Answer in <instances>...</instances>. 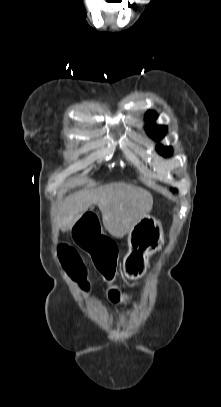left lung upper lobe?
I'll return each instance as SVG.
<instances>
[{
	"mask_svg": "<svg viewBox=\"0 0 221 407\" xmlns=\"http://www.w3.org/2000/svg\"><path fill=\"white\" fill-rule=\"evenodd\" d=\"M156 118L157 114L154 111H149L145 115V119L147 121L146 130L151 138L155 140H160L165 136L167 128L165 126H157L155 123ZM157 151L159 154L163 156H169L171 154V147H164L162 145H158Z\"/></svg>",
	"mask_w": 221,
	"mask_h": 407,
	"instance_id": "obj_1",
	"label": "left lung upper lobe"
}]
</instances>
